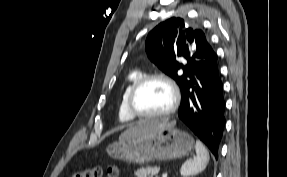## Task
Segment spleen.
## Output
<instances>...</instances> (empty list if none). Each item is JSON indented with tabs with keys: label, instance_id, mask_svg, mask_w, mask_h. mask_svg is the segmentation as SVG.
Returning a JSON list of instances; mask_svg holds the SVG:
<instances>
[{
	"label": "spleen",
	"instance_id": "spleen-1",
	"mask_svg": "<svg viewBox=\"0 0 287 177\" xmlns=\"http://www.w3.org/2000/svg\"><path fill=\"white\" fill-rule=\"evenodd\" d=\"M195 149L196 157L187 160L181 167L180 173L183 177L193 176L202 172L209 162V153L201 141H196Z\"/></svg>",
	"mask_w": 287,
	"mask_h": 177
}]
</instances>
